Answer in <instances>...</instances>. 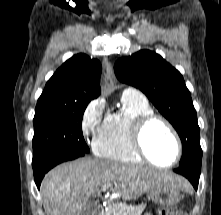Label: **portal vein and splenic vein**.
Segmentation results:
<instances>
[{
  "label": "portal vein and splenic vein",
  "instance_id": "18ae733b",
  "mask_svg": "<svg viewBox=\"0 0 221 215\" xmlns=\"http://www.w3.org/2000/svg\"><path fill=\"white\" fill-rule=\"evenodd\" d=\"M110 186H111V184H107V185L104 186L103 189H106V188H108V187H110Z\"/></svg>",
  "mask_w": 221,
  "mask_h": 215
}]
</instances>
